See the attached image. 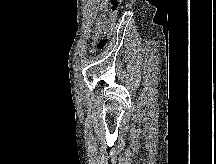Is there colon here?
<instances>
[{
  "label": "colon",
  "instance_id": "5ec220e1",
  "mask_svg": "<svg viewBox=\"0 0 216 164\" xmlns=\"http://www.w3.org/2000/svg\"><path fill=\"white\" fill-rule=\"evenodd\" d=\"M123 1L124 0H109L110 2L109 18L98 24L94 34L95 50L102 51L107 47L111 39V35L114 30L115 24L117 22L119 9Z\"/></svg>",
  "mask_w": 216,
  "mask_h": 164
}]
</instances>
